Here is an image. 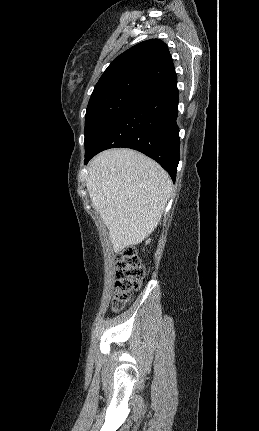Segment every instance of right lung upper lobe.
<instances>
[{
	"instance_id": "1",
	"label": "right lung upper lobe",
	"mask_w": 259,
	"mask_h": 431,
	"mask_svg": "<svg viewBox=\"0 0 259 431\" xmlns=\"http://www.w3.org/2000/svg\"><path fill=\"white\" fill-rule=\"evenodd\" d=\"M176 79L167 45L159 39H150L115 58L100 77L93 93L129 81H138L153 89Z\"/></svg>"
}]
</instances>
